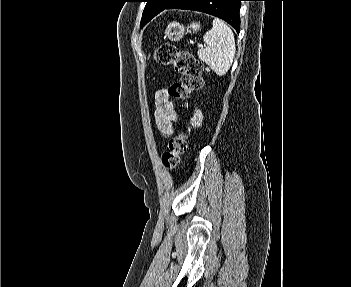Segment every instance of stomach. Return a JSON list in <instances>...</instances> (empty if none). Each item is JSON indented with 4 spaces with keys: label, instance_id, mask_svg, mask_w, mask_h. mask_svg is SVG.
Segmentation results:
<instances>
[{
    "label": "stomach",
    "instance_id": "stomach-1",
    "mask_svg": "<svg viewBox=\"0 0 351 287\" xmlns=\"http://www.w3.org/2000/svg\"><path fill=\"white\" fill-rule=\"evenodd\" d=\"M199 29L200 23L193 22L187 27H184V25L179 22H171L165 30V35L171 41H179L184 36L185 32H191V30L197 32Z\"/></svg>",
    "mask_w": 351,
    "mask_h": 287
}]
</instances>
